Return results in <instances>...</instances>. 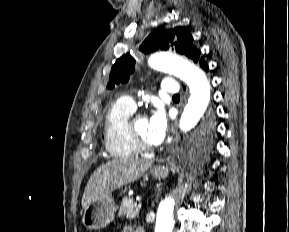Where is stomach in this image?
<instances>
[{"instance_id": "obj_1", "label": "stomach", "mask_w": 289, "mask_h": 232, "mask_svg": "<svg viewBox=\"0 0 289 232\" xmlns=\"http://www.w3.org/2000/svg\"><path fill=\"white\" fill-rule=\"evenodd\" d=\"M155 179H165L169 175V169L164 166L153 167L150 171ZM116 205L111 195H105L92 201L83 211L82 223L90 230H98L106 227L113 219Z\"/></svg>"}]
</instances>
